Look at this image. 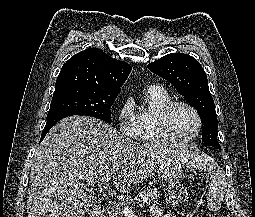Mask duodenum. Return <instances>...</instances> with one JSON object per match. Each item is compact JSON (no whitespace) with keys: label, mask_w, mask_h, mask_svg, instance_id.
I'll use <instances>...</instances> for the list:
<instances>
[{"label":"duodenum","mask_w":255,"mask_h":217,"mask_svg":"<svg viewBox=\"0 0 255 217\" xmlns=\"http://www.w3.org/2000/svg\"><path fill=\"white\" fill-rule=\"evenodd\" d=\"M106 213H105V210L103 209H100V210H97L95 211L91 217H105Z\"/></svg>","instance_id":"duodenum-1"}]
</instances>
